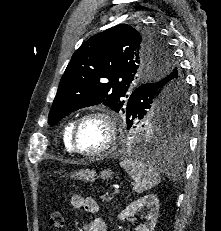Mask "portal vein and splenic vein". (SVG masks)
Wrapping results in <instances>:
<instances>
[{"instance_id": "18ae733b", "label": "portal vein and splenic vein", "mask_w": 221, "mask_h": 231, "mask_svg": "<svg viewBox=\"0 0 221 231\" xmlns=\"http://www.w3.org/2000/svg\"><path fill=\"white\" fill-rule=\"evenodd\" d=\"M114 193L118 194L119 193V189H115Z\"/></svg>"}]
</instances>
